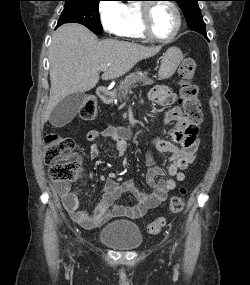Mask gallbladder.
<instances>
[{
	"label": "gallbladder",
	"mask_w": 250,
	"mask_h": 285,
	"mask_svg": "<svg viewBox=\"0 0 250 285\" xmlns=\"http://www.w3.org/2000/svg\"><path fill=\"white\" fill-rule=\"evenodd\" d=\"M86 95L74 93L62 99L52 110L49 122L54 127H63L70 123L78 111L84 106Z\"/></svg>",
	"instance_id": "gallbladder-1"
}]
</instances>
